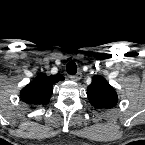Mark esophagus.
Masks as SVG:
<instances>
[{"instance_id": "obj_1", "label": "esophagus", "mask_w": 145, "mask_h": 145, "mask_svg": "<svg viewBox=\"0 0 145 145\" xmlns=\"http://www.w3.org/2000/svg\"><path fill=\"white\" fill-rule=\"evenodd\" d=\"M81 77H82V73H81L80 71L77 72L76 75H71V76H70V78H71L73 81H78V80L81 79Z\"/></svg>"}]
</instances>
